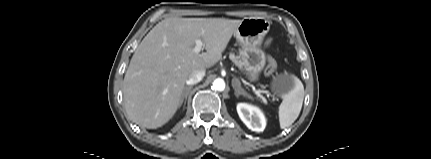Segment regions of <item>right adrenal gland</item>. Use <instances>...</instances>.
I'll list each match as a JSON object with an SVG mask.
<instances>
[{"label": "right adrenal gland", "instance_id": "obj_1", "mask_svg": "<svg viewBox=\"0 0 431 159\" xmlns=\"http://www.w3.org/2000/svg\"><path fill=\"white\" fill-rule=\"evenodd\" d=\"M192 85L191 86H189V87H186V88H184V91H183V94H182V97H181V100H180V105L179 106H181L182 104H183V102H184V107H183V110L185 109V105H186V100H187V96H188V90H191L192 89ZM185 100V101H184Z\"/></svg>", "mask_w": 431, "mask_h": 159}]
</instances>
